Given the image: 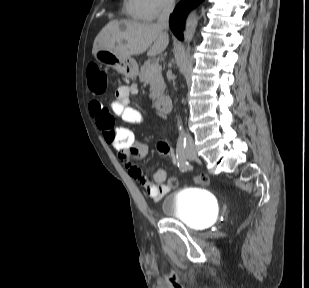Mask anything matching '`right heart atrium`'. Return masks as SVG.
<instances>
[{
	"instance_id": "right-heart-atrium-1",
	"label": "right heart atrium",
	"mask_w": 309,
	"mask_h": 288,
	"mask_svg": "<svg viewBox=\"0 0 309 288\" xmlns=\"http://www.w3.org/2000/svg\"><path fill=\"white\" fill-rule=\"evenodd\" d=\"M143 7L146 10L148 19H155L161 14L169 12L175 3V0H141Z\"/></svg>"
}]
</instances>
